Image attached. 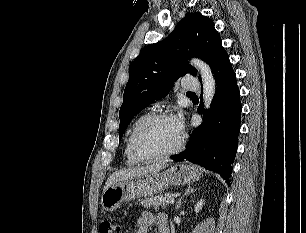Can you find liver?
I'll return each mask as SVG.
<instances>
[{
  "label": "liver",
  "mask_w": 306,
  "mask_h": 233,
  "mask_svg": "<svg viewBox=\"0 0 306 233\" xmlns=\"http://www.w3.org/2000/svg\"><path fill=\"white\" fill-rule=\"evenodd\" d=\"M168 160H162L147 166H140L134 168L123 169L120 171H116L109 176L107 179L103 192L112 184L117 183L119 181L133 179L137 177H141L143 175L160 171L164 169L168 164Z\"/></svg>",
  "instance_id": "6515ba94"
}]
</instances>
